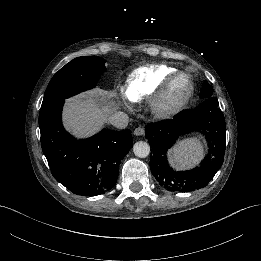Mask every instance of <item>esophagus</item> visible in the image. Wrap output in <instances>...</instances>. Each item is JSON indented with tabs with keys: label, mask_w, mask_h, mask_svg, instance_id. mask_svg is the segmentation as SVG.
Listing matches in <instances>:
<instances>
[{
	"label": "esophagus",
	"mask_w": 261,
	"mask_h": 261,
	"mask_svg": "<svg viewBox=\"0 0 261 261\" xmlns=\"http://www.w3.org/2000/svg\"><path fill=\"white\" fill-rule=\"evenodd\" d=\"M144 128L143 127H137L134 131H133V133H134V135H136V136H142L143 134H144Z\"/></svg>",
	"instance_id": "1"
}]
</instances>
